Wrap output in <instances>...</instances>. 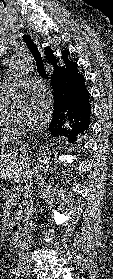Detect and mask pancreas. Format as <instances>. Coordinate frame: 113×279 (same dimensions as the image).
Returning a JSON list of instances; mask_svg holds the SVG:
<instances>
[{
	"instance_id": "pancreas-1",
	"label": "pancreas",
	"mask_w": 113,
	"mask_h": 279,
	"mask_svg": "<svg viewBox=\"0 0 113 279\" xmlns=\"http://www.w3.org/2000/svg\"><path fill=\"white\" fill-rule=\"evenodd\" d=\"M1 198L4 202V205H10L15 207H21V193L16 192L13 188H3L1 192ZM12 199V201H10ZM21 218V211L17 210L15 212V218L12 222L9 223L8 228L11 229L13 226L17 225Z\"/></svg>"
}]
</instances>
